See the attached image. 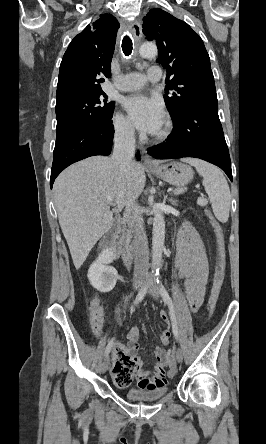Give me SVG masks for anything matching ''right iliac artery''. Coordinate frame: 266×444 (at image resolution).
<instances>
[{"instance_id":"right-iliac-artery-1","label":"right iliac artery","mask_w":266,"mask_h":444,"mask_svg":"<svg viewBox=\"0 0 266 444\" xmlns=\"http://www.w3.org/2000/svg\"><path fill=\"white\" fill-rule=\"evenodd\" d=\"M147 289H148V285H145L144 287H142V288L140 289V291H139V293L137 294L136 299H135V305H137L139 302L142 301V299L145 297V295H146V293H147ZM113 340H114V339H112V340L108 343V345L106 346V349H105V355H107V354L110 352V350H111V348H112V346H113Z\"/></svg>"}]
</instances>
